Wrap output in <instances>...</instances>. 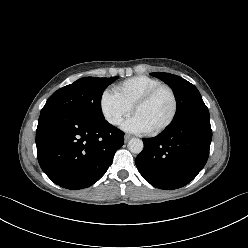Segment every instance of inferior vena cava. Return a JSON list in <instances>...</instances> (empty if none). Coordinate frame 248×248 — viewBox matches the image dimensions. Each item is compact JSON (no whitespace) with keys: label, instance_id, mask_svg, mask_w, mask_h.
Wrapping results in <instances>:
<instances>
[{"label":"inferior vena cava","instance_id":"602c4592","mask_svg":"<svg viewBox=\"0 0 248 248\" xmlns=\"http://www.w3.org/2000/svg\"><path fill=\"white\" fill-rule=\"evenodd\" d=\"M119 123H120L119 119L114 121V124H119Z\"/></svg>","mask_w":248,"mask_h":248}]
</instances>
